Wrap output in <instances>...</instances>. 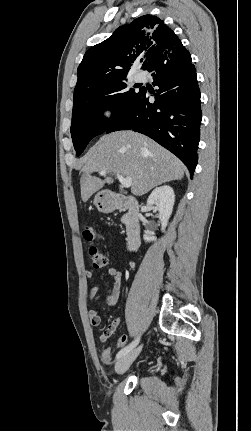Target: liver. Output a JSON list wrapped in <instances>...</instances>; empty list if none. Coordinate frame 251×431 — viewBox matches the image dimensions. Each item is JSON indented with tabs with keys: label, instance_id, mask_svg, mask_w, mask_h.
Listing matches in <instances>:
<instances>
[{
	"label": "liver",
	"instance_id": "liver-1",
	"mask_svg": "<svg viewBox=\"0 0 251 431\" xmlns=\"http://www.w3.org/2000/svg\"><path fill=\"white\" fill-rule=\"evenodd\" d=\"M106 170L105 179L92 176ZM184 164L152 139L133 131H117L102 136L83 158L80 178L81 198L86 202L119 173L131 177V192L142 196L154 187L184 176Z\"/></svg>",
	"mask_w": 251,
	"mask_h": 431
}]
</instances>
